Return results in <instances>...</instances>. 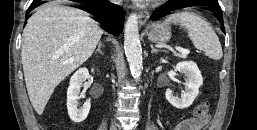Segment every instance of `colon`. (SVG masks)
<instances>
[{
  "label": "colon",
  "mask_w": 257,
  "mask_h": 130,
  "mask_svg": "<svg viewBox=\"0 0 257 130\" xmlns=\"http://www.w3.org/2000/svg\"><path fill=\"white\" fill-rule=\"evenodd\" d=\"M209 111V103L203 102L194 108L193 115L195 119H202L207 116Z\"/></svg>",
  "instance_id": "1"
}]
</instances>
